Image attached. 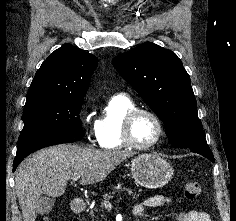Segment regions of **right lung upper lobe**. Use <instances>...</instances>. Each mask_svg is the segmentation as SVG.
<instances>
[{
	"mask_svg": "<svg viewBox=\"0 0 236 221\" xmlns=\"http://www.w3.org/2000/svg\"><path fill=\"white\" fill-rule=\"evenodd\" d=\"M97 58L71 44L55 50L41 65L31 83L27 96H84Z\"/></svg>",
	"mask_w": 236,
	"mask_h": 221,
	"instance_id": "1",
	"label": "right lung upper lobe"
}]
</instances>
